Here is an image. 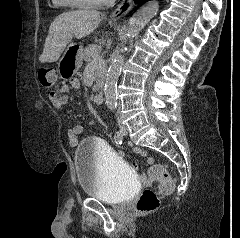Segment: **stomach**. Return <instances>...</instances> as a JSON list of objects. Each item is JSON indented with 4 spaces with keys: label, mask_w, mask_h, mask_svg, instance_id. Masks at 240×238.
Wrapping results in <instances>:
<instances>
[{
    "label": "stomach",
    "mask_w": 240,
    "mask_h": 238,
    "mask_svg": "<svg viewBox=\"0 0 240 238\" xmlns=\"http://www.w3.org/2000/svg\"><path fill=\"white\" fill-rule=\"evenodd\" d=\"M83 49L76 43H70L57 63V72L62 79L72 77L81 67Z\"/></svg>",
    "instance_id": "stomach-1"
}]
</instances>
